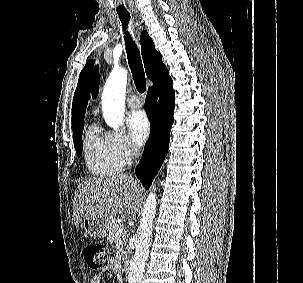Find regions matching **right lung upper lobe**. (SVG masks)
<instances>
[{
    "label": "right lung upper lobe",
    "instance_id": "right-lung-upper-lobe-1",
    "mask_svg": "<svg viewBox=\"0 0 303 283\" xmlns=\"http://www.w3.org/2000/svg\"><path fill=\"white\" fill-rule=\"evenodd\" d=\"M140 45L146 75L153 82V86L151 87L168 80L170 76L166 66L162 62V56L156 51L152 39L145 30L141 33ZM92 66L93 60H89L79 76L72 104L73 127L84 121L86 104L89 98L88 83Z\"/></svg>",
    "mask_w": 303,
    "mask_h": 283
}]
</instances>
